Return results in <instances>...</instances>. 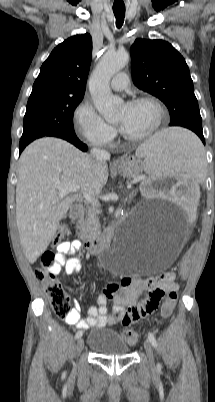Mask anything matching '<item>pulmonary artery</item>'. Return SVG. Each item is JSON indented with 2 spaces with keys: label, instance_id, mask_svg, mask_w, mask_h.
<instances>
[{
  "label": "pulmonary artery",
  "instance_id": "obj_1",
  "mask_svg": "<svg viewBox=\"0 0 215 402\" xmlns=\"http://www.w3.org/2000/svg\"><path fill=\"white\" fill-rule=\"evenodd\" d=\"M129 78L128 75L124 72L116 74L111 80V87L114 90L120 91L125 89L128 86Z\"/></svg>",
  "mask_w": 215,
  "mask_h": 402
}]
</instances>
